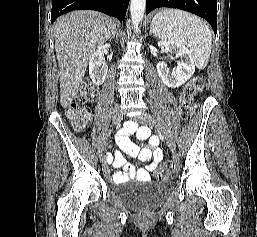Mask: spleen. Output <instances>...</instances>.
<instances>
[{
  "instance_id": "spleen-1",
  "label": "spleen",
  "mask_w": 257,
  "mask_h": 237,
  "mask_svg": "<svg viewBox=\"0 0 257 237\" xmlns=\"http://www.w3.org/2000/svg\"><path fill=\"white\" fill-rule=\"evenodd\" d=\"M151 27L154 35L162 41L185 45L197 68L206 67L211 53L212 32L202 19L184 11L164 9L154 16Z\"/></svg>"
}]
</instances>
